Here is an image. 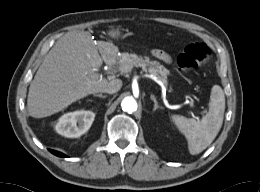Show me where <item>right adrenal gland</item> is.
Segmentation results:
<instances>
[{"label":"right adrenal gland","mask_w":260,"mask_h":192,"mask_svg":"<svg viewBox=\"0 0 260 192\" xmlns=\"http://www.w3.org/2000/svg\"><path fill=\"white\" fill-rule=\"evenodd\" d=\"M95 97H101V98H106V95H102L101 93L100 94H94Z\"/></svg>","instance_id":"2a0ac1e0"}]
</instances>
